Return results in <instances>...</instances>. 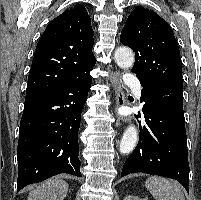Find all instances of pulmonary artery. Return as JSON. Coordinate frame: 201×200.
I'll return each mask as SVG.
<instances>
[{"instance_id": "1", "label": "pulmonary artery", "mask_w": 201, "mask_h": 200, "mask_svg": "<svg viewBox=\"0 0 201 200\" xmlns=\"http://www.w3.org/2000/svg\"><path fill=\"white\" fill-rule=\"evenodd\" d=\"M124 82L129 86L137 88L138 89L137 96H140V91H139V89L141 88L140 82L134 74H131V73L126 74L124 77Z\"/></svg>"}]
</instances>
